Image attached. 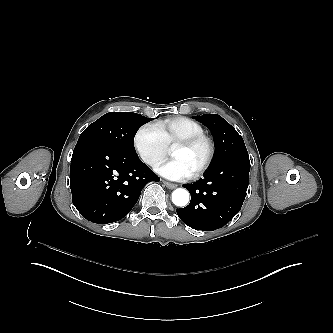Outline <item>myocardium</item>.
<instances>
[{"instance_id": "f54148a6", "label": "myocardium", "mask_w": 333, "mask_h": 333, "mask_svg": "<svg viewBox=\"0 0 333 333\" xmlns=\"http://www.w3.org/2000/svg\"><path fill=\"white\" fill-rule=\"evenodd\" d=\"M177 146H183L186 148H197L200 146L205 147V156L196 171L193 173V178H198L204 174V172L210 167L215 156V145L213 141L205 135L186 138L180 141Z\"/></svg>"}]
</instances>
